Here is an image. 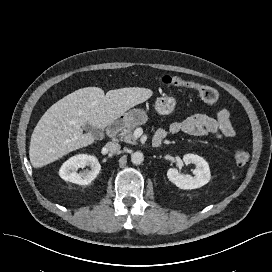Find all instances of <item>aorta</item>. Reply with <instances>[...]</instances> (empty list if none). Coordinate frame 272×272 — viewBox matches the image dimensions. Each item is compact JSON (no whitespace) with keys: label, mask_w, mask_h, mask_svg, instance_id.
I'll list each match as a JSON object with an SVG mask.
<instances>
[{"label":"aorta","mask_w":272,"mask_h":272,"mask_svg":"<svg viewBox=\"0 0 272 272\" xmlns=\"http://www.w3.org/2000/svg\"><path fill=\"white\" fill-rule=\"evenodd\" d=\"M144 160V155L142 152H134L131 154V162L135 165H140Z\"/></svg>","instance_id":"aorta-1"}]
</instances>
